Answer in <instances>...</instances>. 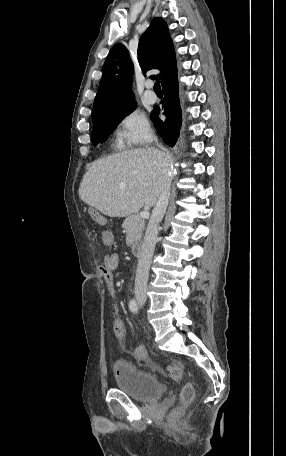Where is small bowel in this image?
I'll use <instances>...</instances> for the list:
<instances>
[{"mask_svg": "<svg viewBox=\"0 0 286 456\" xmlns=\"http://www.w3.org/2000/svg\"><path fill=\"white\" fill-rule=\"evenodd\" d=\"M103 242L106 245H111L113 243V235L109 231H105L102 235ZM120 264V255L119 254H109L104 257L102 264L99 266V273L101 277L106 282L108 291L111 297L114 299L116 296L114 289V274L113 272L119 267ZM115 317L112 324V331L116 339L120 340L124 335V323L120 318L116 306L114 307ZM136 348H142L143 346H137Z\"/></svg>", "mask_w": 286, "mask_h": 456, "instance_id": "c3829d8e", "label": "small bowel"}]
</instances>
